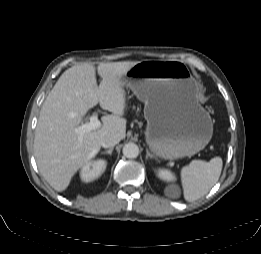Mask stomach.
I'll list each match as a JSON object with an SVG mask.
<instances>
[{
  "instance_id": "obj_1",
  "label": "stomach",
  "mask_w": 261,
  "mask_h": 254,
  "mask_svg": "<svg viewBox=\"0 0 261 254\" xmlns=\"http://www.w3.org/2000/svg\"><path fill=\"white\" fill-rule=\"evenodd\" d=\"M144 102L146 143L162 159L191 156L205 148L213 134L209 113L199 104V84L178 60L139 62L121 78Z\"/></svg>"
}]
</instances>
